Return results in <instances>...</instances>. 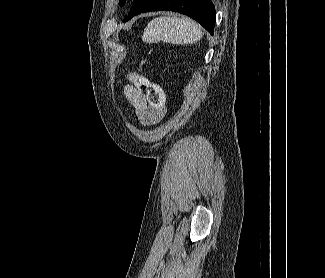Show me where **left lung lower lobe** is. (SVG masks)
I'll return each instance as SVG.
<instances>
[{"instance_id": "left-lung-lower-lobe-1", "label": "left lung lower lobe", "mask_w": 325, "mask_h": 278, "mask_svg": "<svg viewBox=\"0 0 325 278\" xmlns=\"http://www.w3.org/2000/svg\"><path fill=\"white\" fill-rule=\"evenodd\" d=\"M148 11L179 12L199 22L210 34L214 33L216 13L211 0H133L123 22Z\"/></svg>"}]
</instances>
